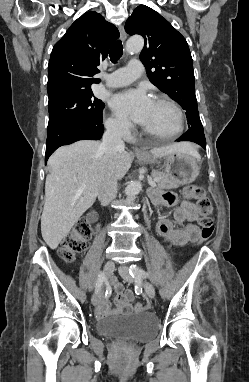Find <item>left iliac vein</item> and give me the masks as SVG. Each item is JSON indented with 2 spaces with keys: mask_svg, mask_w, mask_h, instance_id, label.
I'll use <instances>...</instances> for the list:
<instances>
[{
  "mask_svg": "<svg viewBox=\"0 0 249 382\" xmlns=\"http://www.w3.org/2000/svg\"><path fill=\"white\" fill-rule=\"evenodd\" d=\"M119 274L121 275V277L129 282V283H132L134 280L132 278V276L130 275V272H129V268L127 266H120L119 267ZM143 285V288L145 290V293L147 294V296L149 298H154L155 297V288L154 286L148 282V281H143L142 283Z\"/></svg>",
  "mask_w": 249,
  "mask_h": 382,
  "instance_id": "obj_1",
  "label": "left iliac vein"
}]
</instances>
